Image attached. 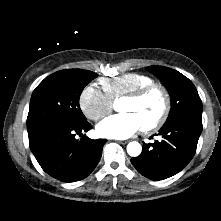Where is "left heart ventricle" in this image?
<instances>
[{"instance_id":"b2bd125f","label":"left heart ventricle","mask_w":221,"mask_h":221,"mask_svg":"<svg viewBox=\"0 0 221 221\" xmlns=\"http://www.w3.org/2000/svg\"><path fill=\"white\" fill-rule=\"evenodd\" d=\"M162 97L154 92L140 101L122 100L119 110L122 113H132L141 122L142 126L156 120L162 111Z\"/></svg>"}]
</instances>
